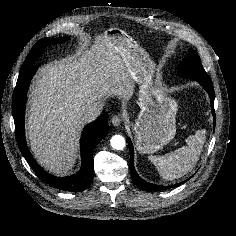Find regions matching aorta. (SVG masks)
<instances>
[{
  "mask_svg": "<svg viewBox=\"0 0 236 236\" xmlns=\"http://www.w3.org/2000/svg\"><path fill=\"white\" fill-rule=\"evenodd\" d=\"M110 142L112 148L115 150H122L125 147V139L121 135H114Z\"/></svg>",
  "mask_w": 236,
  "mask_h": 236,
  "instance_id": "aorta-1",
  "label": "aorta"
}]
</instances>
